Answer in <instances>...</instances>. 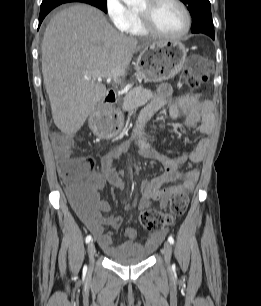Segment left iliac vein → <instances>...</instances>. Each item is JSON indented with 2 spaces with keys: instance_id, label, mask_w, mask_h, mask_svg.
Masks as SVG:
<instances>
[{
  "instance_id": "4c4485c4",
  "label": "left iliac vein",
  "mask_w": 261,
  "mask_h": 306,
  "mask_svg": "<svg viewBox=\"0 0 261 306\" xmlns=\"http://www.w3.org/2000/svg\"><path fill=\"white\" fill-rule=\"evenodd\" d=\"M163 254H164L166 266L169 267L170 261H171V255H172V246L168 241L164 243Z\"/></svg>"
}]
</instances>
